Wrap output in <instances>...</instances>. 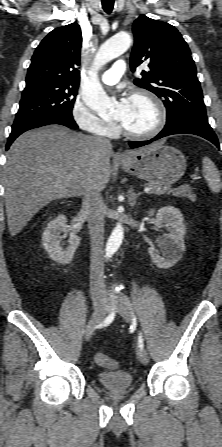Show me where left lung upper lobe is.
Returning a JSON list of instances; mask_svg holds the SVG:
<instances>
[{"label": "left lung upper lobe", "instance_id": "obj_1", "mask_svg": "<svg viewBox=\"0 0 222 447\" xmlns=\"http://www.w3.org/2000/svg\"><path fill=\"white\" fill-rule=\"evenodd\" d=\"M135 37L130 62L134 72L143 62L149 71H142L134 84L145 88L164 102L167 122L186 116L208 124L203 94L191 52L178 30L172 25L145 15L133 24Z\"/></svg>", "mask_w": 222, "mask_h": 447}]
</instances>
